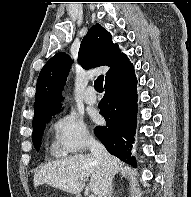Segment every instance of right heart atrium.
Wrapping results in <instances>:
<instances>
[{
	"instance_id": "1",
	"label": "right heart atrium",
	"mask_w": 191,
	"mask_h": 197,
	"mask_svg": "<svg viewBox=\"0 0 191 197\" xmlns=\"http://www.w3.org/2000/svg\"><path fill=\"white\" fill-rule=\"evenodd\" d=\"M52 129V151L56 156H67L82 151L92 141L82 118L72 111L58 116Z\"/></svg>"
}]
</instances>
